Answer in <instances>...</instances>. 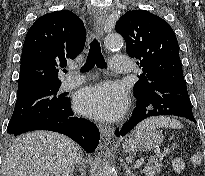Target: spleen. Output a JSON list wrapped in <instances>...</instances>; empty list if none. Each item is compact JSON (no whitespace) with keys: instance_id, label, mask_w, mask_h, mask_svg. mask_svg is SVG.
Masks as SVG:
<instances>
[{"instance_id":"1","label":"spleen","mask_w":205,"mask_h":176,"mask_svg":"<svg viewBox=\"0 0 205 176\" xmlns=\"http://www.w3.org/2000/svg\"><path fill=\"white\" fill-rule=\"evenodd\" d=\"M146 127H152V128H172V129H180L183 127V125L177 121L176 119H172L170 117H153L149 118L143 122H141L137 128H146ZM201 153L197 152V154L193 155L191 157V162L194 166L201 165Z\"/></svg>"}]
</instances>
